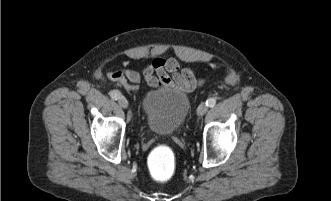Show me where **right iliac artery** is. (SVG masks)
Here are the masks:
<instances>
[{
    "mask_svg": "<svg viewBox=\"0 0 331 201\" xmlns=\"http://www.w3.org/2000/svg\"><path fill=\"white\" fill-rule=\"evenodd\" d=\"M110 97H111L113 100H117V99H119V97H120V92L113 90V91L110 93Z\"/></svg>",
    "mask_w": 331,
    "mask_h": 201,
    "instance_id": "obj_1",
    "label": "right iliac artery"
}]
</instances>
